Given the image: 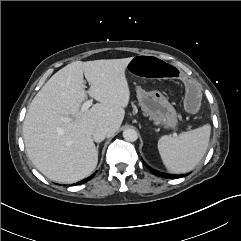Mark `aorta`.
I'll list each match as a JSON object with an SVG mask.
<instances>
[{"instance_id": "obj_1", "label": "aorta", "mask_w": 241, "mask_h": 241, "mask_svg": "<svg viewBox=\"0 0 241 241\" xmlns=\"http://www.w3.org/2000/svg\"><path fill=\"white\" fill-rule=\"evenodd\" d=\"M123 138L128 142H134L138 138V134L134 129H125L123 131Z\"/></svg>"}]
</instances>
